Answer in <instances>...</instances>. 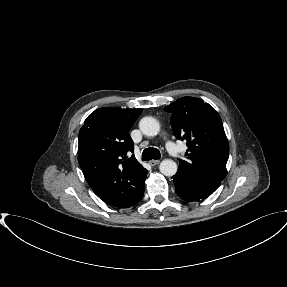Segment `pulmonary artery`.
<instances>
[{"label": "pulmonary artery", "instance_id": "e3ab8cb5", "mask_svg": "<svg viewBox=\"0 0 287 287\" xmlns=\"http://www.w3.org/2000/svg\"><path fill=\"white\" fill-rule=\"evenodd\" d=\"M166 149L170 154H172L174 157H177L180 155V150L178 147L170 140L166 142Z\"/></svg>", "mask_w": 287, "mask_h": 287}]
</instances>
